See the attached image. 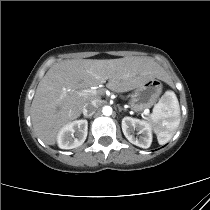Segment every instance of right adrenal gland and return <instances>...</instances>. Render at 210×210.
<instances>
[{"label":"right adrenal gland","mask_w":210,"mask_h":210,"mask_svg":"<svg viewBox=\"0 0 210 210\" xmlns=\"http://www.w3.org/2000/svg\"><path fill=\"white\" fill-rule=\"evenodd\" d=\"M86 118H91V116H85Z\"/></svg>","instance_id":"1"}]
</instances>
